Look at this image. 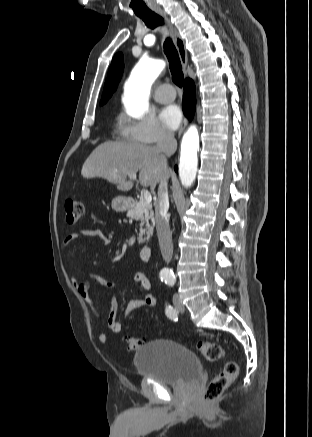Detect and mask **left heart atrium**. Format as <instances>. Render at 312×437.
Instances as JSON below:
<instances>
[{
    "instance_id": "39dd6f15",
    "label": "left heart atrium",
    "mask_w": 312,
    "mask_h": 437,
    "mask_svg": "<svg viewBox=\"0 0 312 437\" xmlns=\"http://www.w3.org/2000/svg\"><path fill=\"white\" fill-rule=\"evenodd\" d=\"M160 119L167 128L175 130L181 123L182 113L178 106L169 105L161 110Z\"/></svg>"
}]
</instances>
